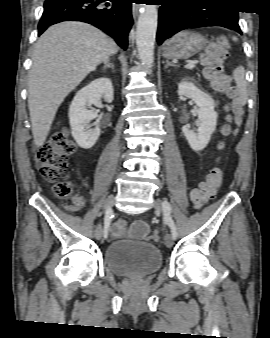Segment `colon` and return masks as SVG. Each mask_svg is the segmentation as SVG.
<instances>
[{
  "instance_id": "1",
  "label": "colon",
  "mask_w": 270,
  "mask_h": 338,
  "mask_svg": "<svg viewBox=\"0 0 270 338\" xmlns=\"http://www.w3.org/2000/svg\"><path fill=\"white\" fill-rule=\"evenodd\" d=\"M230 45L227 39L219 38L215 42L208 44L201 54L202 75L210 81L212 88L229 99H233L235 92L230 85L228 75L223 72L222 62L228 57ZM231 108L238 111L235 105L230 104ZM231 116H226V121L222 126V132L226 136L232 135L236 128L232 126ZM75 150L74 141L65 133L55 134L49 141L44 143L37 151L35 160L42 178L53 184V191L58 198H68L72 193V186L62 180L68 166V158ZM224 182L223 171L214 168L202 181L199 186L191 192V200L196 209H201L202 205L211 199L216 191ZM83 202H72L68 209L78 211ZM152 239L157 241L159 234L154 233Z\"/></svg>"
}]
</instances>
